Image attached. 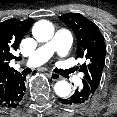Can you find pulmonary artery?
<instances>
[{
  "label": "pulmonary artery",
  "instance_id": "e3ab8cb5",
  "mask_svg": "<svg viewBox=\"0 0 117 117\" xmlns=\"http://www.w3.org/2000/svg\"><path fill=\"white\" fill-rule=\"evenodd\" d=\"M71 44L70 32L66 29H59L51 41L39 47L29 56L27 64L35 67L47 62L54 54L65 56L69 52ZM74 81L80 84L81 76L75 77Z\"/></svg>",
  "mask_w": 117,
  "mask_h": 117
}]
</instances>
